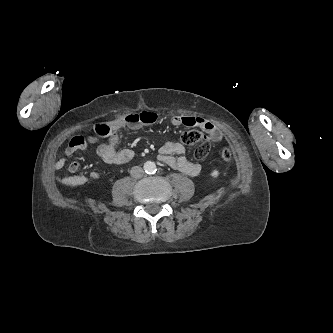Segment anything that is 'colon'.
<instances>
[{
    "label": "colon",
    "instance_id": "1",
    "mask_svg": "<svg viewBox=\"0 0 333 333\" xmlns=\"http://www.w3.org/2000/svg\"><path fill=\"white\" fill-rule=\"evenodd\" d=\"M94 131L100 137H108L111 134V127L109 123H97L94 126ZM181 142L183 145L197 146L194 151V157L197 160H203L209 154L210 143L207 136L199 130L184 132L181 136ZM219 158L225 163H230L233 160V153L230 149L225 148L220 152Z\"/></svg>",
    "mask_w": 333,
    "mask_h": 333
}]
</instances>
